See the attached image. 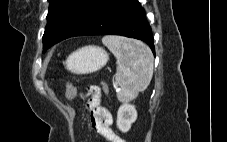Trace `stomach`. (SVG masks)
I'll use <instances>...</instances> for the list:
<instances>
[{
	"label": "stomach",
	"mask_w": 227,
	"mask_h": 142,
	"mask_svg": "<svg viewBox=\"0 0 227 142\" xmlns=\"http://www.w3.org/2000/svg\"><path fill=\"white\" fill-rule=\"evenodd\" d=\"M105 50L97 46H85L72 52L65 61L67 70L75 74H89L100 70L108 62Z\"/></svg>",
	"instance_id": "obj_1"
}]
</instances>
